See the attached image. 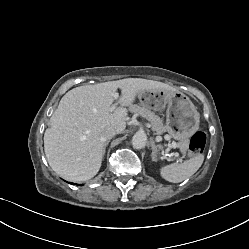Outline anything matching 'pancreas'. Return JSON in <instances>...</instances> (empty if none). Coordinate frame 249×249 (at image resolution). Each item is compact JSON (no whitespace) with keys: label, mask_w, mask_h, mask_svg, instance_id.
I'll list each match as a JSON object with an SVG mask.
<instances>
[{"label":"pancreas","mask_w":249,"mask_h":249,"mask_svg":"<svg viewBox=\"0 0 249 249\" xmlns=\"http://www.w3.org/2000/svg\"><path fill=\"white\" fill-rule=\"evenodd\" d=\"M129 110L132 113L138 114L144 118H146L148 121H150L152 125V130L155 131L157 134H162L167 130V128L163 125L162 119L155 115L152 111L144 108L139 107L138 105H130ZM178 147H180L183 150H186V142L178 144Z\"/></svg>","instance_id":"obj_1"}]
</instances>
